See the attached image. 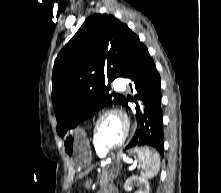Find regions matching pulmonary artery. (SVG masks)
Listing matches in <instances>:
<instances>
[{"instance_id": "e3ab8cb5", "label": "pulmonary artery", "mask_w": 221, "mask_h": 193, "mask_svg": "<svg viewBox=\"0 0 221 193\" xmlns=\"http://www.w3.org/2000/svg\"><path fill=\"white\" fill-rule=\"evenodd\" d=\"M114 86L117 90H124L125 89V81L122 78H117L114 81Z\"/></svg>"}]
</instances>
